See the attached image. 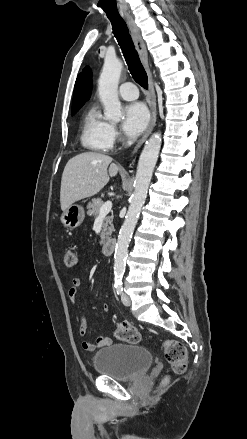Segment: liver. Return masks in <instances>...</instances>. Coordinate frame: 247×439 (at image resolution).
<instances>
[{
	"mask_svg": "<svg viewBox=\"0 0 247 439\" xmlns=\"http://www.w3.org/2000/svg\"><path fill=\"white\" fill-rule=\"evenodd\" d=\"M118 169L110 156L101 153L85 152L71 158L61 179V209L64 211L74 202L97 194Z\"/></svg>",
	"mask_w": 247,
	"mask_h": 439,
	"instance_id": "obj_1",
	"label": "liver"
}]
</instances>
